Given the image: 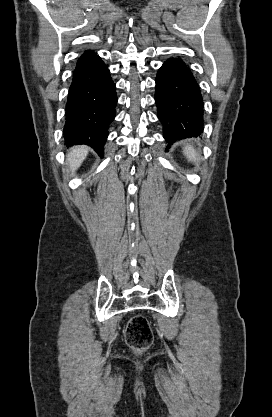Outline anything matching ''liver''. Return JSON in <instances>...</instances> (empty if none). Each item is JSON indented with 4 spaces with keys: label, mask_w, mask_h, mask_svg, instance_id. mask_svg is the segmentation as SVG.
<instances>
[{
    "label": "liver",
    "mask_w": 272,
    "mask_h": 417,
    "mask_svg": "<svg viewBox=\"0 0 272 417\" xmlns=\"http://www.w3.org/2000/svg\"><path fill=\"white\" fill-rule=\"evenodd\" d=\"M88 154V148L85 146L73 147L67 155L68 165L71 172H75Z\"/></svg>",
    "instance_id": "liver-1"
}]
</instances>
